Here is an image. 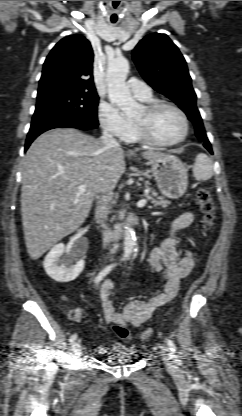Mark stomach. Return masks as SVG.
<instances>
[{
	"mask_svg": "<svg viewBox=\"0 0 242 416\" xmlns=\"http://www.w3.org/2000/svg\"><path fill=\"white\" fill-rule=\"evenodd\" d=\"M150 165L160 192L168 198L178 199L187 189V169L179 158L165 155L146 163Z\"/></svg>",
	"mask_w": 242,
	"mask_h": 416,
	"instance_id": "1",
	"label": "stomach"
}]
</instances>
